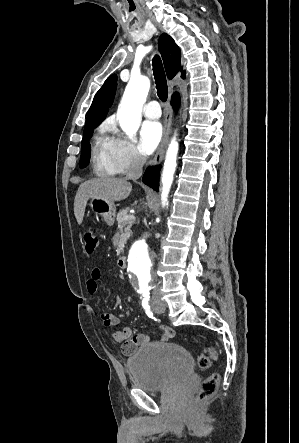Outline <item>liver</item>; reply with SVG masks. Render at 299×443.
<instances>
[{
    "label": "liver",
    "instance_id": "liver-1",
    "mask_svg": "<svg viewBox=\"0 0 299 443\" xmlns=\"http://www.w3.org/2000/svg\"><path fill=\"white\" fill-rule=\"evenodd\" d=\"M132 191V184L126 178L102 177L82 183L74 200V215L79 225L82 224L85 208L89 199L103 198L108 201H122Z\"/></svg>",
    "mask_w": 299,
    "mask_h": 443
}]
</instances>
